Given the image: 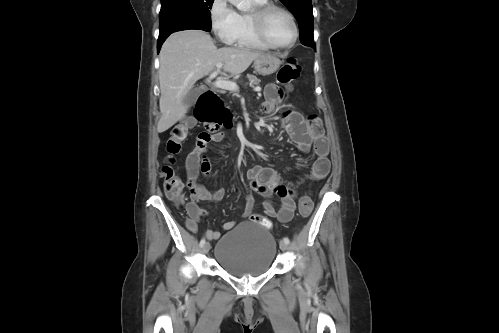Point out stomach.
Returning <instances> with one entry per match:
<instances>
[{"instance_id":"obj_1","label":"stomach","mask_w":499,"mask_h":333,"mask_svg":"<svg viewBox=\"0 0 499 333\" xmlns=\"http://www.w3.org/2000/svg\"><path fill=\"white\" fill-rule=\"evenodd\" d=\"M281 65L278 57L266 54L254 61V68L260 75L267 76L275 73Z\"/></svg>"}]
</instances>
